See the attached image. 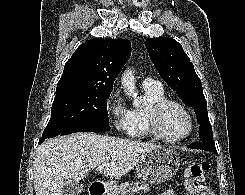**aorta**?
Here are the masks:
<instances>
[{"label":"aorta","instance_id":"obj_1","mask_svg":"<svg viewBox=\"0 0 245 195\" xmlns=\"http://www.w3.org/2000/svg\"><path fill=\"white\" fill-rule=\"evenodd\" d=\"M122 85L124 87L125 93L133 97V105H140V100L137 98L135 77L132 70L128 69L123 73Z\"/></svg>","mask_w":245,"mask_h":195}]
</instances>
